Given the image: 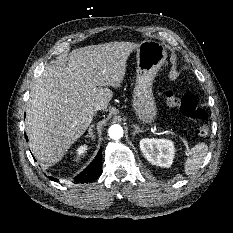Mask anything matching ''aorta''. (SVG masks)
Listing matches in <instances>:
<instances>
[{
    "instance_id": "aorta-1",
    "label": "aorta",
    "mask_w": 233,
    "mask_h": 233,
    "mask_svg": "<svg viewBox=\"0 0 233 233\" xmlns=\"http://www.w3.org/2000/svg\"><path fill=\"white\" fill-rule=\"evenodd\" d=\"M108 133L110 138L118 140L123 137V128L120 125L115 124L109 128Z\"/></svg>"
}]
</instances>
